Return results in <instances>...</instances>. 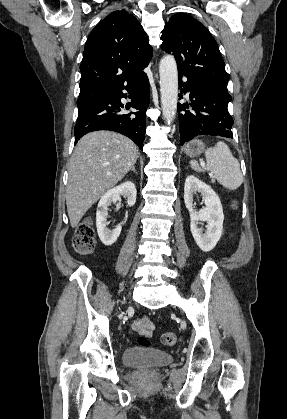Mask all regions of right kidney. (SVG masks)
Instances as JSON below:
<instances>
[{"instance_id":"obj_1","label":"right kidney","mask_w":287,"mask_h":419,"mask_svg":"<svg viewBox=\"0 0 287 419\" xmlns=\"http://www.w3.org/2000/svg\"><path fill=\"white\" fill-rule=\"evenodd\" d=\"M136 187L134 183L127 181L115 188L107 191L100 199L96 211V227L100 240L106 246H111L118 239L122 226L118 225L115 229L107 228L108 207L117 202L121 195L127 198V203L131 207L136 202Z\"/></svg>"}]
</instances>
